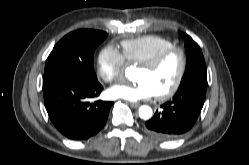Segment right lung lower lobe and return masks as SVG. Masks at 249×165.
<instances>
[{"label": "right lung lower lobe", "instance_id": "1", "mask_svg": "<svg viewBox=\"0 0 249 165\" xmlns=\"http://www.w3.org/2000/svg\"><path fill=\"white\" fill-rule=\"evenodd\" d=\"M102 89L99 82L89 84L55 73L45 74L44 103L57 130L73 140H85L98 133L106 124L113 104L101 100L89 102Z\"/></svg>", "mask_w": 249, "mask_h": 165}]
</instances>
